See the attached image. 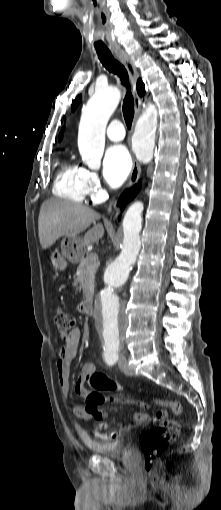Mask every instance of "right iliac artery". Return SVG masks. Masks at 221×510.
I'll use <instances>...</instances> for the list:
<instances>
[{"mask_svg":"<svg viewBox=\"0 0 221 510\" xmlns=\"http://www.w3.org/2000/svg\"><path fill=\"white\" fill-rule=\"evenodd\" d=\"M104 358L108 365H113L118 359V353L115 350H108L104 353Z\"/></svg>","mask_w":221,"mask_h":510,"instance_id":"1","label":"right iliac artery"}]
</instances>
